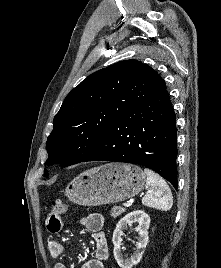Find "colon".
<instances>
[{
    "label": "colon",
    "instance_id": "1",
    "mask_svg": "<svg viewBox=\"0 0 221 268\" xmlns=\"http://www.w3.org/2000/svg\"><path fill=\"white\" fill-rule=\"evenodd\" d=\"M67 209V204L61 199L52 201V212L51 214L61 216Z\"/></svg>",
    "mask_w": 221,
    "mask_h": 268
}]
</instances>
